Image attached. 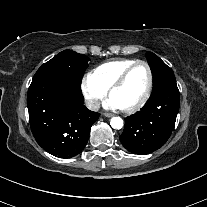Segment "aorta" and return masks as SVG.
<instances>
[{
	"label": "aorta",
	"instance_id": "obj_1",
	"mask_svg": "<svg viewBox=\"0 0 207 207\" xmlns=\"http://www.w3.org/2000/svg\"><path fill=\"white\" fill-rule=\"evenodd\" d=\"M110 125L113 129H121L123 127V120L120 117H113L110 121Z\"/></svg>",
	"mask_w": 207,
	"mask_h": 207
}]
</instances>
